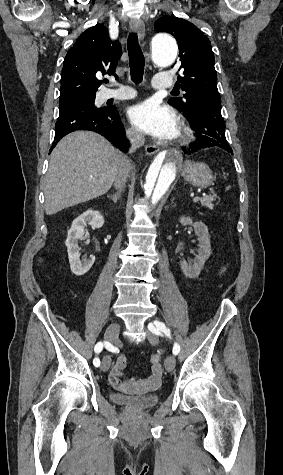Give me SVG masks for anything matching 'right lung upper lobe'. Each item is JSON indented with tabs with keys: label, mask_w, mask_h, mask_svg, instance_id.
Masks as SVG:
<instances>
[{
	"label": "right lung upper lobe",
	"mask_w": 283,
	"mask_h": 475,
	"mask_svg": "<svg viewBox=\"0 0 283 475\" xmlns=\"http://www.w3.org/2000/svg\"><path fill=\"white\" fill-rule=\"evenodd\" d=\"M121 54L119 42L110 40L104 25L97 24L87 29L64 59L61 90L76 89L95 93L101 84L96 74L115 75Z\"/></svg>",
	"instance_id": "cb5924a9"
}]
</instances>
